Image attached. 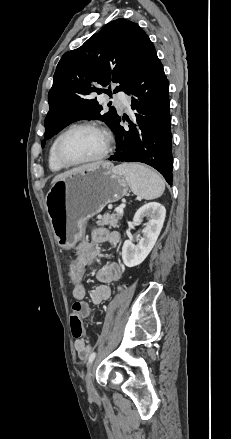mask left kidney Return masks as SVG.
I'll use <instances>...</instances> for the list:
<instances>
[{"mask_svg": "<svg viewBox=\"0 0 231 439\" xmlns=\"http://www.w3.org/2000/svg\"><path fill=\"white\" fill-rule=\"evenodd\" d=\"M165 216L166 209L158 202H149L137 210L133 218L134 224H141L145 217L148 222L137 245L131 240H126L123 244L122 260L127 267L141 264L151 252L163 227Z\"/></svg>", "mask_w": 231, "mask_h": 439, "instance_id": "left-kidney-1", "label": "left kidney"}]
</instances>
